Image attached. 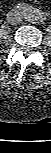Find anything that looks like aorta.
I'll use <instances>...</instances> for the list:
<instances>
[{
  "instance_id": "aorta-1",
  "label": "aorta",
  "mask_w": 51,
  "mask_h": 153,
  "mask_svg": "<svg viewBox=\"0 0 51 153\" xmlns=\"http://www.w3.org/2000/svg\"><path fill=\"white\" fill-rule=\"evenodd\" d=\"M29 19L33 22H36L38 20H42L45 21L46 17L43 16L42 14H40V12L38 10H31L29 12Z\"/></svg>"
}]
</instances>
